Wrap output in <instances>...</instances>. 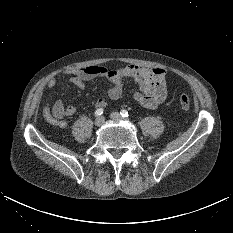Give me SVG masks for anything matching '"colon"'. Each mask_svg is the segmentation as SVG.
Here are the masks:
<instances>
[{
    "label": "colon",
    "mask_w": 233,
    "mask_h": 233,
    "mask_svg": "<svg viewBox=\"0 0 233 233\" xmlns=\"http://www.w3.org/2000/svg\"><path fill=\"white\" fill-rule=\"evenodd\" d=\"M179 104L182 107L183 110L188 111L191 106L190 98L187 95H181L179 97Z\"/></svg>",
    "instance_id": "colon-1"
}]
</instances>
